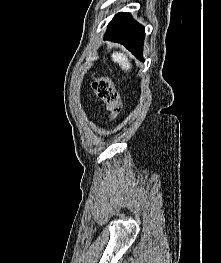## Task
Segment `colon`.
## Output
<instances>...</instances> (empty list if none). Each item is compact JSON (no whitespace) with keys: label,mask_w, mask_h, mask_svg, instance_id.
<instances>
[{"label":"colon","mask_w":221,"mask_h":263,"mask_svg":"<svg viewBox=\"0 0 221 263\" xmlns=\"http://www.w3.org/2000/svg\"><path fill=\"white\" fill-rule=\"evenodd\" d=\"M92 88L97 97L105 103L109 120H113L121 110V101L117 90L109 78L104 75H96L93 78Z\"/></svg>","instance_id":"colon-1"}]
</instances>
